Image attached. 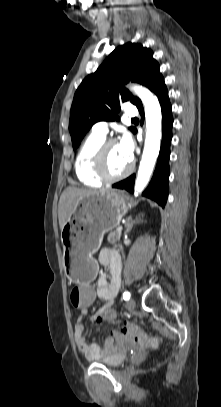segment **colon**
<instances>
[{"label": "colon", "mask_w": 221, "mask_h": 407, "mask_svg": "<svg viewBox=\"0 0 221 407\" xmlns=\"http://www.w3.org/2000/svg\"><path fill=\"white\" fill-rule=\"evenodd\" d=\"M94 290V283H72L71 305L75 306L76 311H89L96 298ZM104 312L102 316L104 322L116 320V307L114 305H106ZM120 331L123 335H129L145 349H154L161 342L160 337L149 336L136 328H129L127 325L121 327Z\"/></svg>", "instance_id": "obj_1"}]
</instances>
